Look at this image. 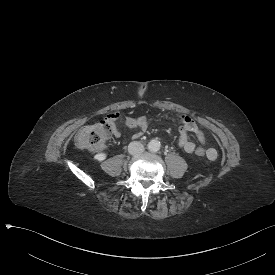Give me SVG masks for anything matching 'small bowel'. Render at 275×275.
<instances>
[{
  "instance_id": "1",
  "label": "small bowel",
  "mask_w": 275,
  "mask_h": 275,
  "mask_svg": "<svg viewBox=\"0 0 275 275\" xmlns=\"http://www.w3.org/2000/svg\"><path fill=\"white\" fill-rule=\"evenodd\" d=\"M122 112L121 111H116V112H112L109 114V119L110 120H118L122 117ZM180 119V130H179V138H178V147L183 149L185 152L187 153H192L195 149V144L194 142H192L189 137L188 134H194L198 140L200 141L201 144H205L206 143V139L205 136L203 134V132L201 131V129L198 127V125L195 123V121L187 116V115H180L179 116ZM132 128H136L137 131L134 133L133 137L134 138H139L145 131L146 129V118H144V120L139 121L138 123H134L132 125H129ZM114 137L115 138H120L121 137V132L118 131L116 128H114ZM209 153L211 152H216L214 149L209 148L207 150ZM211 160V159H210Z\"/></svg>"
}]
</instances>
